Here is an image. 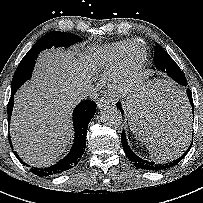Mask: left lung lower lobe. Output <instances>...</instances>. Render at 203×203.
Here are the masks:
<instances>
[{
	"mask_svg": "<svg viewBox=\"0 0 203 203\" xmlns=\"http://www.w3.org/2000/svg\"><path fill=\"white\" fill-rule=\"evenodd\" d=\"M158 65L160 66L161 71L167 73L168 76H170L178 84L183 85V86L187 85V80H186L184 74L180 70L179 66L175 63V61L168 54L162 55V57H159ZM187 96H188V99H189L190 105L192 106V111H193L192 92L189 89H187ZM185 101H186V103H185L186 108H184L185 111H184L183 116H185V113L186 112L188 113L190 110V108H188V106H187L188 105L187 100H185ZM116 106L123 113L121 103L117 102ZM141 111H143V114H144L142 116L140 114L141 119L149 125L153 124L158 119L159 112H160V111H158V109H155V107H153L152 105L147 104L146 101H145V105H143L141 107ZM190 117H191V115L189 112V115L185 116V118L187 120L186 122H188V124L183 125V126L187 127L188 131H190ZM121 142H122L124 152H125L126 156L130 159V161L133 162V164L135 166H137L138 168L148 170V171L167 170V169L177 165L186 156L187 152H189V150L192 146V142H191L187 151L182 156H180L179 158H177L174 161H171L168 163H156V162L144 160V159L138 157L136 154H134L128 145L124 131H122V134H121Z\"/></svg>",
	"mask_w": 203,
	"mask_h": 203,
	"instance_id": "obj_1",
	"label": "left lung lower lobe"
}]
</instances>
